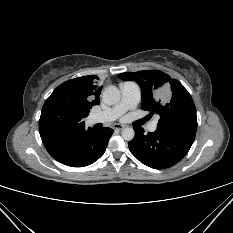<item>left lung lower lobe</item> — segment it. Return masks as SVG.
I'll return each mask as SVG.
<instances>
[{
  "mask_svg": "<svg viewBox=\"0 0 233 233\" xmlns=\"http://www.w3.org/2000/svg\"><path fill=\"white\" fill-rule=\"evenodd\" d=\"M135 137L129 142L132 154L143 164L164 169L178 163L189 151L195 134L172 133L156 130L144 133L142 127H134Z\"/></svg>",
  "mask_w": 233,
  "mask_h": 233,
  "instance_id": "0a47b994",
  "label": "left lung lower lobe"
}]
</instances>
